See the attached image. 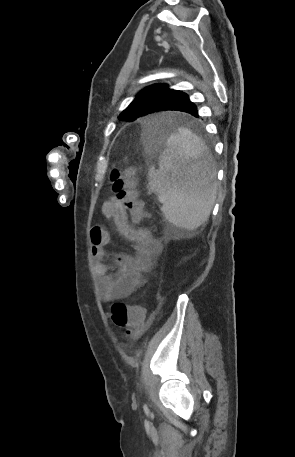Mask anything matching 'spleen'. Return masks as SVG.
<instances>
[{"mask_svg":"<svg viewBox=\"0 0 295 457\" xmlns=\"http://www.w3.org/2000/svg\"><path fill=\"white\" fill-rule=\"evenodd\" d=\"M205 146L188 129L167 139L159 169L148 170V189L158 195L166 220L176 227L195 230L206 222L214 206L217 186L204 159Z\"/></svg>","mask_w":295,"mask_h":457,"instance_id":"1","label":"spleen"}]
</instances>
